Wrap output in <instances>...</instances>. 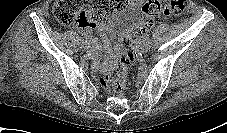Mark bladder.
I'll use <instances>...</instances> for the list:
<instances>
[{
	"instance_id": "1",
	"label": "bladder",
	"mask_w": 227,
	"mask_h": 133,
	"mask_svg": "<svg viewBox=\"0 0 227 133\" xmlns=\"http://www.w3.org/2000/svg\"><path fill=\"white\" fill-rule=\"evenodd\" d=\"M136 18L137 12L135 10L129 9L124 12L118 19L117 23L109 30L108 38L111 39L126 33L135 22Z\"/></svg>"
}]
</instances>
